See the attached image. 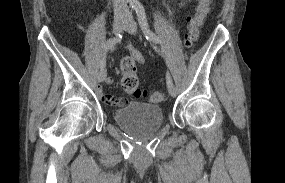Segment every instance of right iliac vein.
<instances>
[{"mask_svg": "<svg viewBox=\"0 0 285 183\" xmlns=\"http://www.w3.org/2000/svg\"><path fill=\"white\" fill-rule=\"evenodd\" d=\"M126 22V19L123 17L116 18L113 22V32L114 34H119ZM106 78V69L103 67L99 70L97 79L99 82L104 81Z\"/></svg>", "mask_w": 285, "mask_h": 183, "instance_id": "right-iliac-vein-1", "label": "right iliac vein"}]
</instances>
